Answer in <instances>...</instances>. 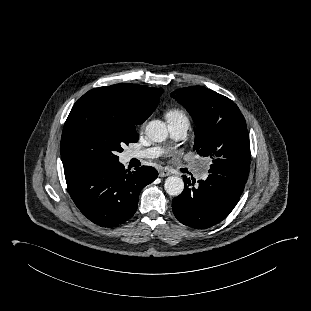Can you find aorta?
I'll return each instance as SVG.
<instances>
[{"label": "aorta", "instance_id": "762f6f07", "mask_svg": "<svg viewBox=\"0 0 311 311\" xmlns=\"http://www.w3.org/2000/svg\"><path fill=\"white\" fill-rule=\"evenodd\" d=\"M145 134L153 142H162L168 136L166 124L161 120L150 121L145 128ZM164 188L167 194L178 196L184 190L183 179L178 176H170L165 180Z\"/></svg>", "mask_w": 311, "mask_h": 311}]
</instances>
